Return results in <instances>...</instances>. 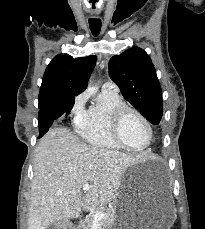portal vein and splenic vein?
I'll use <instances>...</instances> for the list:
<instances>
[{
	"label": "portal vein and splenic vein",
	"instance_id": "18ae733b",
	"mask_svg": "<svg viewBox=\"0 0 205 229\" xmlns=\"http://www.w3.org/2000/svg\"><path fill=\"white\" fill-rule=\"evenodd\" d=\"M91 188V186L89 184H84L82 189L83 191L87 192L89 189ZM106 215L104 213H96L94 215V223H98L100 220L105 219Z\"/></svg>",
	"mask_w": 205,
	"mask_h": 229
}]
</instances>
